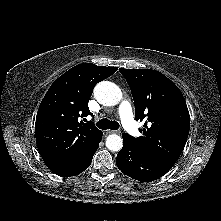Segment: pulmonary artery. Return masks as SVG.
Masks as SVG:
<instances>
[{"instance_id": "obj_1", "label": "pulmonary artery", "mask_w": 221, "mask_h": 221, "mask_svg": "<svg viewBox=\"0 0 221 221\" xmlns=\"http://www.w3.org/2000/svg\"><path fill=\"white\" fill-rule=\"evenodd\" d=\"M118 114L120 116V120L122 126L134 137H138L140 135L139 128L134 120L131 105L128 101H122L118 108Z\"/></svg>"}]
</instances>
